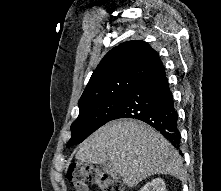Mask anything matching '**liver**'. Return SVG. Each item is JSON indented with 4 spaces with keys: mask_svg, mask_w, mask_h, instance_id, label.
Returning <instances> with one entry per match:
<instances>
[{
    "mask_svg": "<svg viewBox=\"0 0 221 191\" xmlns=\"http://www.w3.org/2000/svg\"><path fill=\"white\" fill-rule=\"evenodd\" d=\"M76 159L111 163L129 187L154 174L184 177L179 153L159 132L139 120L119 119L102 126L80 145Z\"/></svg>",
    "mask_w": 221,
    "mask_h": 191,
    "instance_id": "liver-1",
    "label": "liver"
}]
</instances>
